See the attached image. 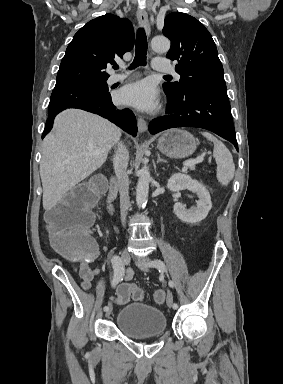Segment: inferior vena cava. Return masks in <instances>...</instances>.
<instances>
[{
	"mask_svg": "<svg viewBox=\"0 0 283 384\" xmlns=\"http://www.w3.org/2000/svg\"><path fill=\"white\" fill-rule=\"evenodd\" d=\"M128 162H129L128 150H126L125 146H122V144H118V148L113 158V164H114L116 178H118L122 222H125V218L127 216V210L128 208H130L129 178L127 174Z\"/></svg>",
	"mask_w": 283,
	"mask_h": 384,
	"instance_id": "1",
	"label": "inferior vena cava"
}]
</instances>
